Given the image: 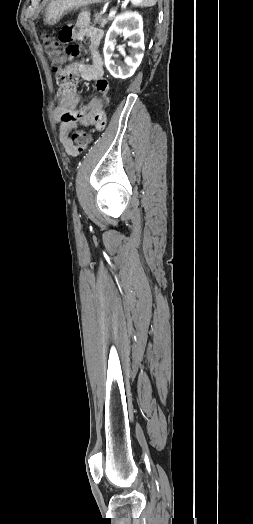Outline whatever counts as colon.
Returning a JSON list of instances; mask_svg holds the SVG:
<instances>
[{"instance_id":"5ec220e1","label":"colon","mask_w":253,"mask_h":524,"mask_svg":"<svg viewBox=\"0 0 253 524\" xmlns=\"http://www.w3.org/2000/svg\"><path fill=\"white\" fill-rule=\"evenodd\" d=\"M43 43L46 53L50 59L52 69L55 71L61 70L67 57L64 54L65 45L60 44L58 36L45 33L43 36ZM73 154L83 153L90 144V136L84 129H77L71 137Z\"/></svg>"}]
</instances>
